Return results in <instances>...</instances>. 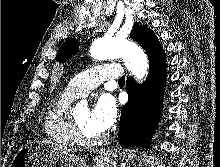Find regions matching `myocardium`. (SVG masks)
Instances as JSON below:
<instances>
[{
    "instance_id": "myocardium-1",
    "label": "myocardium",
    "mask_w": 220,
    "mask_h": 167,
    "mask_svg": "<svg viewBox=\"0 0 220 167\" xmlns=\"http://www.w3.org/2000/svg\"><path fill=\"white\" fill-rule=\"evenodd\" d=\"M68 125H69L70 136L74 144L76 145L82 147H93L103 144L107 139V136L105 134L101 135L96 139L85 138L80 131V127L75 113V108L70 109Z\"/></svg>"
}]
</instances>
